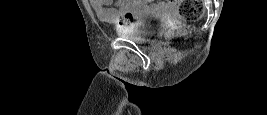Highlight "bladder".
I'll list each match as a JSON object with an SVG mask.
<instances>
[{
    "label": "bladder",
    "instance_id": "obj_1",
    "mask_svg": "<svg viewBox=\"0 0 267 115\" xmlns=\"http://www.w3.org/2000/svg\"><path fill=\"white\" fill-rule=\"evenodd\" d=\"M143 20H158L160 16L153 13L144 14L141 17ZM119 36L135 40V41H145L153 37L155 31L150 26L146 25L144 22H136L130 26L119 27L116 29Z\"/></svg>",
    "mask_w": 267,
    "mask_h": 115
}]
</instances>
